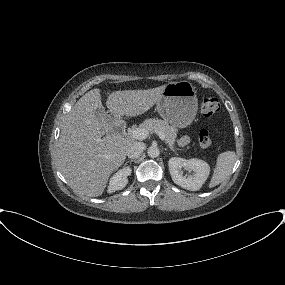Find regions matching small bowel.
<instances>
[{
    "mask_svg": "<svg viewBox=\"0 0 285 285\" xmlns=\"http://www.w3.org/2000/svg\"><path fill=\"white\" fill-rule=\"evenodd\" d=\"M187 141H188V139L186 137L182 138L181 141H180V145L186 144Z\"/></svg>",
    "mask_w": 285,
    "mask_h": 285,
    "instance_id": "small-bowel-1",
    "label": "small bowel"
}]
</instances>
